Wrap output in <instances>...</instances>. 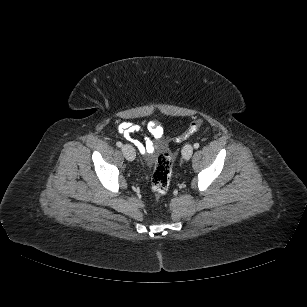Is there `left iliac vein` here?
Instances as JSON below:
<instances>
[{
    "label": "left iliac vein",
    "mask_w": 307,
    "mask_h": 307,
    "mask_svg": "<svg viewBox=\"0 0 307 307\" xmlns=\"http://www.w3.org/2000/svg\"><path fill=\"white\" fill-rule=\"evenodd\" d=\"M193 154V147L191 144H186L182 149V157L184 160H189Z\"/></svg>",
    "instance_id": "4c4485c4"
}]
</instances>
